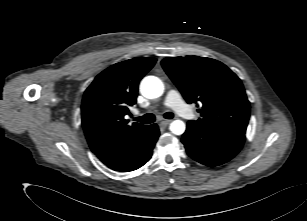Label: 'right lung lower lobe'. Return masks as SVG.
Returning a JSON list of instances; mask_svg holds the SVG:
<instances>
[{
  "mask_svg": "<svg viewBox=\"0 0 307 221\" xmlns=\"http://www.w3.org/2000/svg\"><path fill=\"white\" fill-rule=\"evenodd\" d=\"M158 137V126L156 124L147 126L128 146L103 163L115 171L129 172L136 170L151 158Z\"/></svg>",
  "mask_w": 307,
  "mask_h": 221,
  "instance_id": "right-lung-lower-lobe-1",
  "label": "right lung lower lobe"
}]
</instances>
